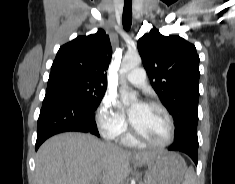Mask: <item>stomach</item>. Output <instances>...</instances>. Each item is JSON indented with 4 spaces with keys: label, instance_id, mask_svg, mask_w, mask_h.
Instances as JSON below:
<instances>
[{
    "label": "stomach",
    "instance_id": "stomach-1",
    "mask_svg": "<svg viewBox=\"0 0 235 184\" xmlns=\"http://www.w3.org/2000/svg\"><path fill=\"white\" fill-rule=\"evenodd\" d=\"M143 166L147 168L144 184H182L187 170L186 162L176 152L154 154Z\"/></svg>",
    "mask_w": 235,
    "mask_h": 184
}]
</instances>
